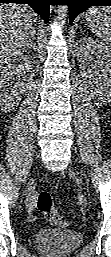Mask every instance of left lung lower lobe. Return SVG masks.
<instances>
[{"label": "left lung lower lobe", "instance_id": "1", "mask_svg": "<svg viewBox=\"0 0 111 257\" xmlns=\"http://www.w3.org/2000/svg\"><path fill=\"white\" fill-rule=\"evenodd\" d=\"M70 24L75 17L91 6H111V0H69Z\"/></svg>", "mask_w": 111, "mask_h": 257}]
</instances>
